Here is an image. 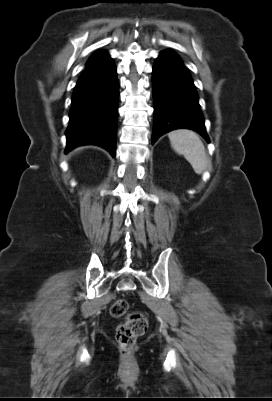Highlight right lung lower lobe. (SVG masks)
Segmentation results:
<instances>
[{
  "label": "right lung lower lobe",
  "instance_id": "right-lung-lower-lobe-1",
  "mask_svg": "<svg viewBox=\"0 0 272 401\" xmlns=\"http://www.w3.org/2000/svg\"><path fill=\"white\" fill-rule=\"evenodd\" d=\"M119 85L116 67L106 51L93 54L72 96L65 153L94 144L116 155Z\"/></svg>",
  "mask_w": 272,
  "mask_h": 401
}]
</instances>
